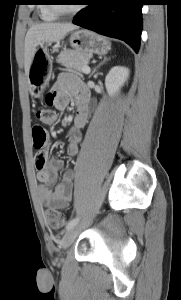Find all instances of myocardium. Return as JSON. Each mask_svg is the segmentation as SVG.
<instances>
[{
    "label": "myocardium",
    "instance_id": "obj_1",
    "mask_svg": "<svg viewBox=\"0 0 181 300\" xmlns=\"http://www.w3.org/2000/svg\"><path fill=\"white\" fill-rule=\"evenodd\" d=\"M51 10L58 16H66L74 14L78 11V8L64 9L56 0H49Z\"/></svg>",
    "mask_w": 181,
    "mask_h": 300
}]
</instances>
